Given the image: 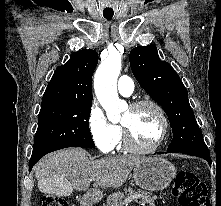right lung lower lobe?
Returning <instances> with one entry per match:
<instances>
[{
    "instance_id": "right-lung-lower-lobe-1",
    "label": "right lung lower lobe",
    "mask_w": 221,
    "mask_h": 206,
    "mask_svg": "<svg viewBox=\"0 0 221 206\" xmlns=\"http://www.w3.org/2000/svg\"><path fill=\"white\" fill-rule=\"evenodd\" d=\"M45 155V154H44ZM36 156V157H31V160L29 162V171H31L32 167L44 156Z\"/></svg>"
}]
</instances>
